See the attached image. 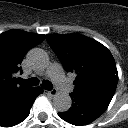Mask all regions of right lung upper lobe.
<instances>
[{
  "label": "right lung upper lobe",
  "instance_id": "cb5924a9",
  "mask_svg": "<svg viewBox=\"0 0 128 128\" xmlns=\"http://www.w3.org/2000/svg\"><path fill=\"white\" fill-rule=\"evenodd\" d=\"M44 38L45 35L22 30H9L0 34V108L17 93L28 88L18 84L14 74L21 71L20 64L25 54Z\"/></svg>",
  "mask_w": 128,
  "mask_h": 128
}]
</instances>
